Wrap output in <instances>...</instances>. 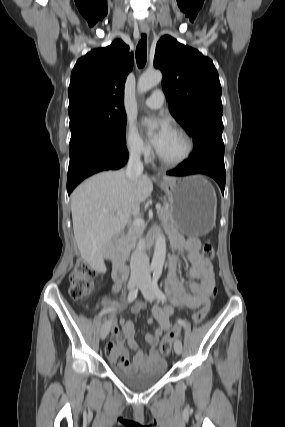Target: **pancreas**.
Masks as SVG:
<instances>
[{"mask_svg": "<svg viewBox=\"0 0 285 427\" xmlns=\"http://www.w3.org/2000/svg\"><path fill=\"white\" fill-rule=\"evenodd\" d=\"M159 219H161L163 222H169L171 219V211L168 204H164L160 210L157 211ZM145 225H139V226H132L129 229V232L126 237L125 244L128 248H133L135 246V243L137 239L140 237V235L144 232Z\"/></svg>", "mask_w": 285, "mask_h": 427, "instance_id": "cf45deb5", "label": "pancreas"}]
</instances>
